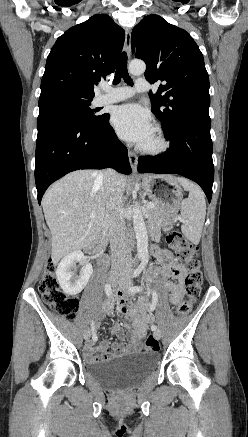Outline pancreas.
Wrapping results in <instances>:
<instances>
[{"label":"pancreas","instance_id":"pancreas-1","mask_svg":"<svg viewBox=\"0 0 248 437\" xmlns=\"http://www.w3.org/2000/svg\"><path fill=\"white\" fill-rule=\"evenodd\" d=\"M152 203H154L153 207H147L149 223L152 226L153 232L158 233L166 220L167 212L156 202Z\"/></svg>","mask_w":248,"mask_h":437}]
</instances>
